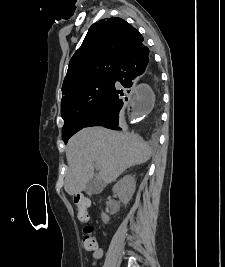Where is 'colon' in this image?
Returning <instances> with one entry per match:
<instances>
[{
  "instance_id": "colon-1",
  "label": "colon",
  "mask_w": 225,
  "mask_h": 267,
  "mask_svg": "<svg viewBox=\"0 0 225 267\" xmlns=\"http://www.w3.org/2000/svg\"><path fill=\"white\" fill-rule=\"evenodd\" d=\"M75 202L78 207V219L85 224L83 228V247L88 251L93 250L96 247V239L94 236V227L90 224V215L87 211L89 201L83 196H78Z\"/></svg>"
}]
</instances>
